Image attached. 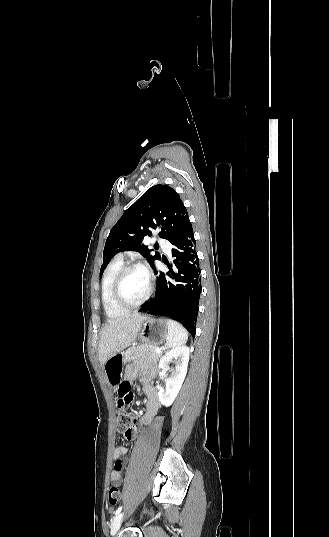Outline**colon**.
<instances>
[{
  "instance_id": "1",
  "label": "colon",
  "mask_w": 329,
  "mask_h": 537,
  "mask_svg": "<svg viewBox=\"0 0 329 537\" xmlns=\"http://www.w3.org/2000/svg\"><path fill=\"white\" fill-rule=\"evenodd\" d=\"M120 387V385H119ZM118 387V388H119ZM135 423V417L128 412L121 411L116 420V429L119 433H127ZM121 499V492L117 487H111L108 500L111 505H116Z\"/></svg>"
}]
</instances>
